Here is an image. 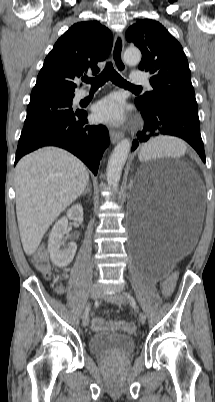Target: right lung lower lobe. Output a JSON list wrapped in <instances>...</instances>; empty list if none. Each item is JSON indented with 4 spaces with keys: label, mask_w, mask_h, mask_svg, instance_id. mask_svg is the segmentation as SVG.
Wrapping results in <instances>:
<instances>
[{
    "label": "right lung lower lobe",
    "mask_w": 215,
    "mask_h": 402,
    "mask_svg": "<svg viewBox=\"0 0 215 402\" xmlns=\"http://www.w3.org/2000/svg\"><path fill=\"white\" fill-rule=\"evenodd\" d=\"M109 142L105 126L89 124L87 112L76 111L67 118L19 140L15 164L22 156L42 146H58L80 158L96 175L102 153Z\"/></svg>",
    "instance_id": "right-lung-lower-lobe-1"
}]
</instances>
